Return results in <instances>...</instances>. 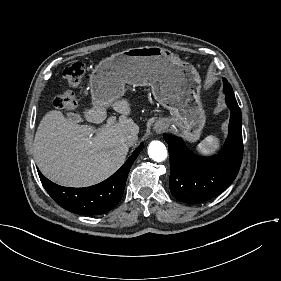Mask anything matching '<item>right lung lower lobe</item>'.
<instances>
[{
    "label": "right lung lower lobe",
    "instance_id": "obj_1",
    "mask_svg": "<svg viewBox=\"0 0 281 281\" xmlns=\"http://www.w3.org/2000/svg\"><path fill=\"white\" fill-rule=\"evenodd\" d=\"M142 149L143 144H140L116 173L94 186L84 188L59 186L45 178L40 171L39 177L48 194L64 209L82 215L104 214L120 201L129 170Z\"/></svg>",
    "mask_w": 281,
    "mask_h": 281
}]
</instances>
